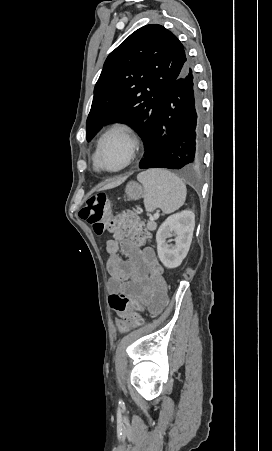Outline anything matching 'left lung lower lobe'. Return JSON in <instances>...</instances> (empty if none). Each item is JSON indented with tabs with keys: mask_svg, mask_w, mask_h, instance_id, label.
Listing matches in <instances>:
<instances>
[{
	"mask_svg": "<svg viewBox=\"0 0 272 451\" xmlns=\"http://www.w3.org/2000/svg\"><path fill=\"white\" fill-rule=\"evenodd\" d=\"M200 106L189 62L170 87L154 133L140 164L141 169L193 170L201 164Z\"/></svg>",
	"mask_w": 272,
	"mask_h": 451,
	"instance_id": "0a47b994",
	"label": "left lung lower lobe"
}]
</instances>
